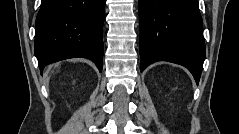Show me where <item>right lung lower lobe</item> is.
<instances>
[{"instance_id":"obj_1","label":"right lung lower lobe","mask_w":239,"mask_h":134,"mask_svg":"<svg viewBox=\"0 0 239 134\" xmlns=\"http://www.w3.org/2000/svg\"><path fill=\"white\" fill-rule=\"evenodd\" d=\"M105 0H42L34 52L40 70L63 59L84 57L102 71Z\"/></svg>"}]
</instances>
